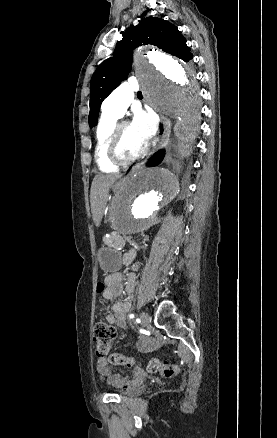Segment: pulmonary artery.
Segmentation results:
<instances>
[{
  "label": "pulmonary artery",
  "instance_id": "e3ab8cb5",
  "mask_svg": "<svg viewBox=\"0 0 277 438\" xmlns=\"http://www.w3.org/2000/svg\"><path fill=\"white\" fill-rule=\"evenodd\" d=\"M123 87H116L115 95L106 96V104L102 106V115L112 118H121L133 100V90L138 89V82L134 76H126Z\"/></svg>",
  "mask_w": 277,
  "mask_h": 438
}]
</instances>
